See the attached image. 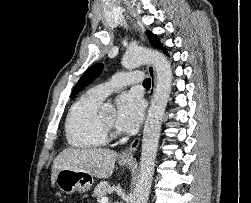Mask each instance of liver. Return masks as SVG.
Returning <instances> with one entry per match:
<instances>
[{"instance_id": "1", "label": "liver", "mask_w": 251, "mask_h": 203, "mask_svg": "<svg viewBox=\"0 0 251 203\" xmlns=\"http://www.w3.org/2000/svg\"><path fill=\"white\" fill-rule=\"evenodd\" d=\"M116 152L101 148H66L54 160L52 166L51 183L55 184L60 170L70 169L84 171L93 177L106 179L113 173Z\"/></svg>"}]
</instances>
